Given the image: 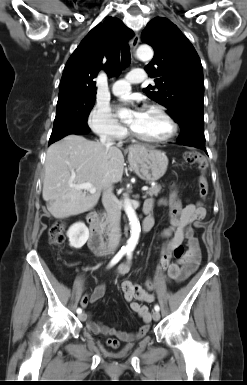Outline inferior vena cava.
<instances>
[{"label": "inferior vena cava", "instance_id": "602c4592", "mask_svg": "<svg viewBox=\"0 0 247 385\" xmlns=\"http://www.w3.org/2000/svg\"><path fill=\"white\" fill-rule=\"evenodd\" d=\"M100 142L105 147H111L113 142L106 136L100 137ZM102 203L106 209L108 216V248L110 252H113L119 244L121 238L120 219L121 209L118 199L112 192V187L109 186L105 189L102 197Z\"/></svg>", "mask_w": 247, "mask_h": 385}]
</instances>
